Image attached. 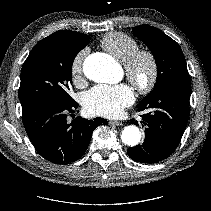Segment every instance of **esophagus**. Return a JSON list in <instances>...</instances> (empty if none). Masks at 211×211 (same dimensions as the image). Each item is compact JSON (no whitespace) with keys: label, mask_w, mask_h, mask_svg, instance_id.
Listing matches in <instances>:
<instances>
[{"label":"esophagus","mask_w":211,"mask_h":211,"mask_svg":"<svg viewBox=\"0 0 211 211\" xmlns=\"http://www.w3.org/2000/svg\"><path fill=\"white\" fill-rule=\"evenodd\" d=\"M110 124L115 125V126H122V125H123V123H122V122H120V121H116V120H112V121H110Z\"/></svg>","instance_id":"obj_1"}]
</instances>
